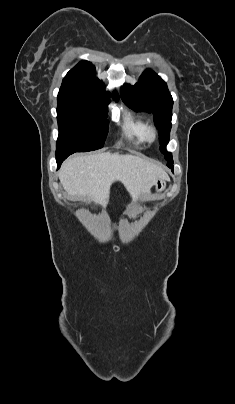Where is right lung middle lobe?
<instances>
[{
	"label": "right lung middle lobe",
	"mask_w": 235,
	"mask_h": 404,
	"mask_svg": "<svg viewBox=\"0 0 235 404\" xmlns=\"http://www.w3.org/2000/svg\"><path fill=\"white\" fill-rule=\"evenodd\" d=\"M108 103L58 96L56 154L102 148L108 132Z\"/></svg>",
	"instance_id": "1"
}]
</instances>
